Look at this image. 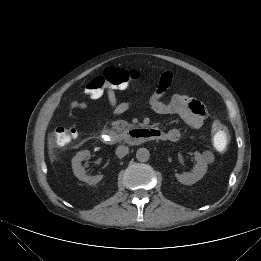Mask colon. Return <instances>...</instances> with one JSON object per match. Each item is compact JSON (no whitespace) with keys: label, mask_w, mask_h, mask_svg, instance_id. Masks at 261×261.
<instances>
[{"label":"colon","mask_w":261,"mask_h":261,"mask_svg":"<svg viewBox=\"0 0 261 261\" xmlns=\"http://www.w3.org/2000/svg\"><path fill=\"white\" fill-rule=\"evenodd\" d=\"M139 73L133 69L109 67L100 76L93 78L86 86L85 92L91 98L98 99L107 86L120 87L130 85L137 80ZM212 119L211 137L214 147L219 151H225L230 143V137L226 126L217 118L214 113H210ZM77 136L74 128L57 127L52 135L51 142L64 146L71 143Z\"/></svg>","instance_id":"1"}]
</instances>
